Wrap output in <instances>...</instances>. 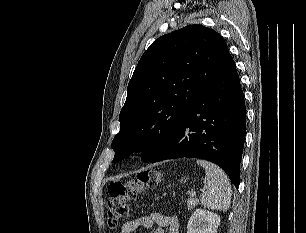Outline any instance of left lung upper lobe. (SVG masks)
<instances>
[{
	"label": "left lung upper lobe",
	"mask_w": 306,
	"mask_h": 233,
	"mask_svg": "<svg viewBox=\"0 0 306 233\" xmlns=\"http://www.w3.org/2000/svg\"><path fill=\"white\" fill-rule=\"evenodd\" d=\"M229 55L223 38L202 25L155 40L128 84L113 162L134 151L148 153L144 162L156 156Z\"/></svg>",
	"instance_id": "obj_1"
}]
</instances>
